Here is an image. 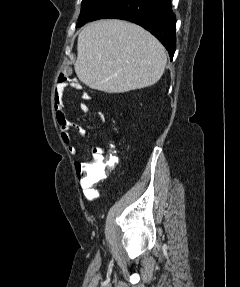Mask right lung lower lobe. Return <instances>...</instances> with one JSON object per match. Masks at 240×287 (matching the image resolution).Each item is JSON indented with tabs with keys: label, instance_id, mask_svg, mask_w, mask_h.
<instances>
[{
	"label": "right lung lower lobe",
	"instance_id": "98d812e1",
	"mask_svg": "<svg viewBox=\"0 0 240 287\" xmlns=\"http://www.w3.org/2000/svg\"><path fill=\"white\" fill-rule=\"evenodd\" d=\"M116 18L136 23L151 32L167 49H176V17L170 0H109L91 19Z\"/></svg>",
	"mask_w": 240,
	"mask_h": 287
}]
</instances>
